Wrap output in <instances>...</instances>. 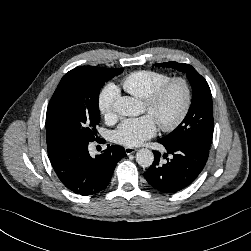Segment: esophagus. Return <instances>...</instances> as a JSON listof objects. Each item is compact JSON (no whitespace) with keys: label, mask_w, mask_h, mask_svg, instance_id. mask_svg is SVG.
<instances>
[{"label":"esophagus","mask_w":251,"mask_h":251,"mask_svg":"<svg viewBox=\"0 0 251 251\" xmlns=\"http://www.w3.org/2000/svg\"><path fill=\"white\" fill-rule=\"evenodd\" d=\"M136 151H137L136 148H132V147H126V148H125V152H126L127 155L133 154V153H135Z\"/></svg>","instance_id":"esophagus-1"}]
</instances>
